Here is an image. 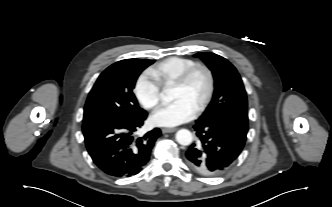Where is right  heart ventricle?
<instances>
[{
  "mask_svg": "<svg viewBox=\"0 0 332 207\" xmlns=\"http://www.w3.org/2000/svg\"><path fill=\"white\" fill-rule=\"evenodd\" d=\"M196 63L195 60L190 58L171 56L150 68L149 73L160 85L167 86L172 84L184 71Z\"/></svg>",
  "mask_w": 332,
  "mask_h": 207,
  "instance_id": "obj_1",
  "label": "right heart ventricle"
}]
</instances>
